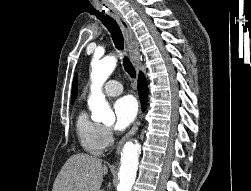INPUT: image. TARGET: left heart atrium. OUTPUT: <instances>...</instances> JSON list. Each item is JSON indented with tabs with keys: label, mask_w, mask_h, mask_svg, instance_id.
I'll list each match as a JSON object with an SVG mask.
<instances>
[{
	"label": "left heart atrium",
	"mask_w": 251,
	"mask_h": 191,
	"mask_svg": "<svg viewBox=\"0 0 251 191\" xmlns=\"http://www.w3.org/2000/svg\"><path fill=\"white\" fill-rule=\"evenodd\" d=\"M115 129L123 131L135 120L138 112L136 101L129 96L119 98L113 105Z\"/></svg>",
	"instance_id": "left-heart-atrium-1"
}]
</instances>
